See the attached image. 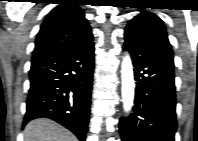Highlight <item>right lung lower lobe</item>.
Instances as JSON below:
<instances>
[{"label": "right lung lower lobe", "instance_id": "1", "mask_svg": "<svg viewBox=\"0 0 198 141\" xmlns=\"http://www.w3.org/2000/svg\"><path fill=\"white\" fill-rule=\"evenodd\" d=\"M93 70L91 32L68 46L32 59L23 124L39 117L51 118L84 141L89 122Z\"/></svg>", "mask_w": 198, "mask_h": 141}]
</instances>
